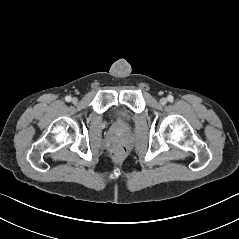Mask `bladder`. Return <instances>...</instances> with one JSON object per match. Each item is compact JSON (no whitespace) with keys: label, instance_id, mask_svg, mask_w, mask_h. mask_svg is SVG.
<instances>
[{"label":"bladder","instance_id":"bladder-1","mask_svg":"<svg viewBox=\"0 0 239 239\" xmlns=\"http://www.w3.org/2000/svg\"><path fill=\"white\" fill-rule=\"evenodd\" d=\"M118 117H119L120 121H122V122L124 121V120L121 118V116H120V115H118Z\"/></svg>","mask_w":239,"mask_h":239}]
</instances>
